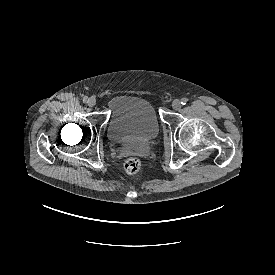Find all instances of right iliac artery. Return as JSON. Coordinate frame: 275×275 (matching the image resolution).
I'll return each instance as SVG.
<instances>
[{"instance_id": "obj_1", "label": "right iliac artery", "mask_w": 275, "mask_h": 275, "mask_svg": "<svg viewBox=\"0 0 275 275\" xmlns=\"http://www.w3.org/2000/svg\"><path fill=\"white\" fill-rule=\"evenodd\" d=\"M88 101H89V98H88L87 96H84V97H83V102H84V103H88Z\"/></svg>"}]
</instances>
